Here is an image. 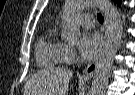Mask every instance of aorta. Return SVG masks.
Instances as JSON below:
<instances>
[{
    "instance_id": "obj_1",
    "label": "aorta",
    "mask_w": 135,
    "mask_h": 95,
    "mask_svg": "<svg viewBox=\"0 0 135 95\" xmlns=\"http://www.w3.org/2000/svg\"><path fill=\"white\" fill-rule=\"evenodd\" d=\"M90 5L98 6L107 19V38L95 68L90 95H105L109 74L123 34V24L118 10L109 0H67L63 14L62 38L68 43L78 42L80 26L76 21V15Z\"/></svg>"
}]
</instances>
